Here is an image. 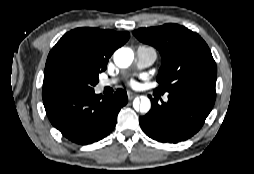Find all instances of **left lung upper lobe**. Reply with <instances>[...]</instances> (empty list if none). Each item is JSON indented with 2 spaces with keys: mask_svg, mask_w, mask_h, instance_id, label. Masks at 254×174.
Returning <instances> with one entry per match:
<instances>
[{
  "mask_svg": "<svg viewBox=\"0 0 254 174\" xmlns=\"http://www.w3.org/2000/svg\"><path fill=\"white\" fill-rule=\"evenodd\" d=\"M134 36L157 48L162 66L155 91L193 92L215 100L217 67L205 41L195 32L177 24L140 28Z\"/></svg>",
  "mask_w": 254,
  "mask_h": 174,
  "instance_id": "obj_1",
  "label": "left lung upper lobe"
}]
</instances>
